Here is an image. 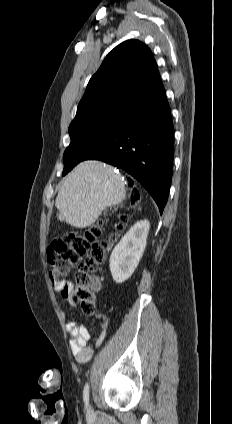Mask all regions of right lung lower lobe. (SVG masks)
<instances>
[{
  "label": "right lung lower lobe",
  "instance_id": "obj_1",
  "mask_svg": "<svg viewBox=\"0 0 232 424\" xmlns=\"http://www.w3.org/2000/svg\"><path fill=\"white\" fill-rule=\"evenodd\" d=\"M174 128L164 88L134 103L128 120L84 160L118 166L149 192L162 214L172 178Z\"/></svg>",
  "mask_w": 232,
  "mask_h": 424
}]
</instances>
